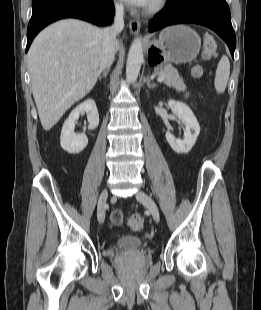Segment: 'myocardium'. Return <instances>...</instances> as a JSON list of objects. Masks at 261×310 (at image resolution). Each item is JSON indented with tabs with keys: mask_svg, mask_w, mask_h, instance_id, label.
<instances>
[{
	"mask_svg": "<svg viewBox=\"0 0 261 310\" xmlns=\"http://www.w3.org/2000/svg\"><path fill=\"white\" fill-rule=\"evenodd\" d=\"M167 0H152L146 9V13L149 15L160 12L166 5Z\"/></svg>",
	"mask_w": 261,
	"mask_h": 310,
	"instance_id": "1",
	"label": "myocardium"
}]
</instances>
